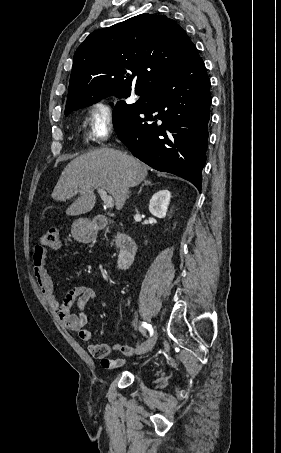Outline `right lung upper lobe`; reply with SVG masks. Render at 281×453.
Wrapping results in <instances>:
<instances>
[{"mask_svg":"<svg viewBox=\"0 0 281 453\" xmlns=\"http://www.w3.org/2000/svg\"><path fill=\"white\" fill-rule=\"evenodd\" d=\"M198 51L167 16L141 14L91 33L73 58L65 113L108 95H142L178 73Z\"/></svg>","mask_w":281,"mask_h":453,"instance_id":"1","label":"right lung upper lobe"}]
</instances>
